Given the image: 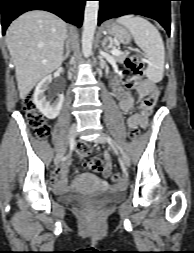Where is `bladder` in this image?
I'll list each match as a JSON object with an SVG mask.
<instances>
[{"label":"bladder","instance_id":"obj_1","mask_svg":"<svg viewBox=\"0 0 194 253\" xmlns=\"http://www.w3.org/2000/svg\"><path fill=\"white\" fill-rule=\"evenodd\" d=\"M122 197V193L117 190H104L98 191L91 194H87L85 196L80 195H65L60 198V200L64 203H74L81 201L83 199H89L97 203L106 204L114 202Z\"/></svg>","mask_w":194,"mask_h":253}]
</instances>
